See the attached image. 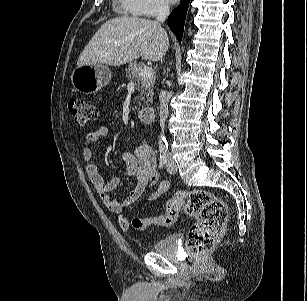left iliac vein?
Segmentation results:
<instances>
[{
	"instance_id": "obj_1",
	"label": "left iliac vein",
	"mask_w": 307,
	"mask_h": 301,
	"mask_svg": "<svg viewBox=\"0 0 307 301\" xmlns=\"http://www.w3.org/2000/svg\"><path fill=\"white\" fill-rule=\"evenodd\" d=\"M166 168H167V171L169 173H175L177 171L176 163L172 159L171 154H169L168 157H167V166H166Z\"/></svg>"
}]
</instances>
